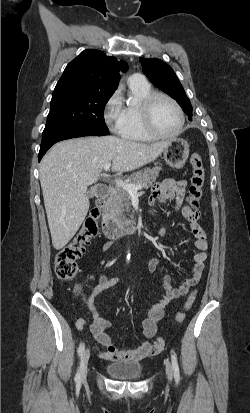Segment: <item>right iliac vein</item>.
<instances>
[{"instance_id":"obj_1","label":"right iliac vein","mask_w":250,"mask_h":413,"mask_svg":"<svg viewBox=\"0 0 250 413\" xmlns=\"http://www.w3.org/2000/svg\"><path fill=\"white\" fill-rule=\"evenodd\" d=\"M90 357L89 350H85L81 355V363H80V378L82 381L86 379L87 376V368H88V361Z\"/></svg>"}]
</instances>
